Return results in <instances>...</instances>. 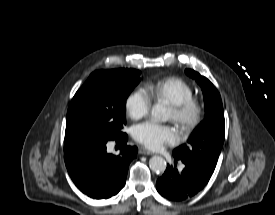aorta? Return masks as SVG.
<instances>
[{
	"mask_svg": "<svg viewBox=\"0 0 275 215\" xmlns=\"http://www.w3.org/2000/svg\"><path fill=\"white\" fill-rule=\"evenodd\" d=\"M151 117L155 122H166L169 114L163 105L156 104L152 107ZM149 167L155 173H163L166 170V161L163 157L153 156L149 160Z\"/></svg>",
	"mask_w": 275,
	"mask_h": 215,
	"instance_id": "1",
	"label": "aorta"
}]
</instances>
